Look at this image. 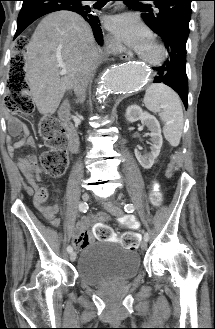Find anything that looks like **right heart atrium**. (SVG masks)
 I'll use <instances>...</instances> for the list:
<instances>
[{
  "mask_svg": "<svg viewBox=\"0 0 215 329\" xmlns=\"http://www.w3.org/2000/svg\"><path fill=\"white\" fill-rule=\"evenodd\" d=\"M108 44L112 48H114L116 46V43H115V41L112 38H108Z\"/></svg>",
  "mask_w": 215,
  "mask_h": 329,
  "instance_id": "d8ad5b80",
  "label": "right heart atrium"
}]
</instances>
